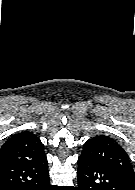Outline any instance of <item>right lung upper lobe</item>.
<instances>
[{
	"mask_svg": "<svg viewBox=\"0 0 135 190\" xmlns=\"http://www.w3.org/2000/svg\"><path fill=\"white\" fill-rule=\"evenodd\" d=\"M44 146L31 132H21L8 139L0 149V165L44 157Z\"/></svg>",
	"mask_w": 135,
	"mask_h": 190,
	"instance_id": "right-lung-upper-lobe-1",
	"label": "right lung upper lobe"
}]
</instances>
